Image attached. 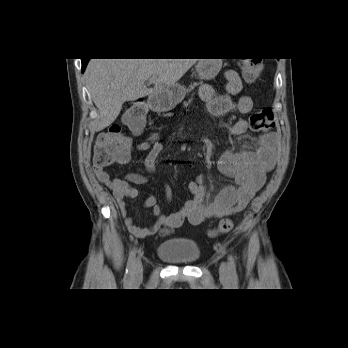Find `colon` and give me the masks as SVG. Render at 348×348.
Here are the masks:
<instances>
[{
  "instance_id": "5ec220e1",
  "label": "colon",
  "mask_w": 348,
  "mask_h": 348,
  "mask_svg": "<svg viewBox=\"0 0 348 348\" xmlns=\"http://www.w3.org/2000/svg\"><path fill=\"white\" fill-rule=\"evenodd\" d=\"M240 69L243 77L255 81L263 71V63L259 58L240 60ZM147 107L143 99H137L125 112L123 121L134 133H141L146 125ZM252 130L264 132L274 127L273 113L268 109L259 110L249 118ZM132 148L131 139L121 131L120 125L114 124L101 133L94 148V162L98 167L104 168L112 163H118L127 158ZM234 227L231 218H224L218 226L211 231V236L229 233Z\"/></svg>"
}]
</instances>
